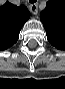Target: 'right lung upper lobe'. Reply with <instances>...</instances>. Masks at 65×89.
<instances>
[{
    "label": "right lung upper lobe",
    "mask_w": 65,
    "mask_h": 89,
    "mask_svg": "<svg viewBox=\"0 0 65 89\" xmlns=\"http://www.w3.org/2000/svg\"><path fill=\"white\" fill-rule=\"evenodd\" d=\"M30 12L26 6H16L6 2L0 7V50L15 44L24 23L29 19Z\"/></svg>",
    "instance_id": "right-lung-upper-lobe-1"
}]
</instances>
